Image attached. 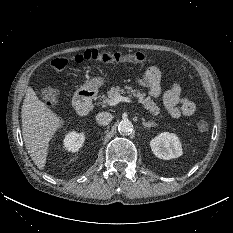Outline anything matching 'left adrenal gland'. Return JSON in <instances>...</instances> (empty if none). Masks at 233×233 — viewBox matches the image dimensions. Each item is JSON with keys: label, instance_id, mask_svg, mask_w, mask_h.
Listing matches in <instances>:
<instances>
[{"label": "left adrenal gland", "instance_id": "1", "mask_svg": "<svg viewBox=\"0 0 233 233\" xmlns=\"http://www.w3.org/2000/svg\"><path fill=\"white\" fill-rule=\"evenodd\" d=\"M142 124H143L144 128L156 127V123H154V122H146L144 119H143Z\"/></svg>", "mask_w": 233, "mask_h": 233}]
</instances>
